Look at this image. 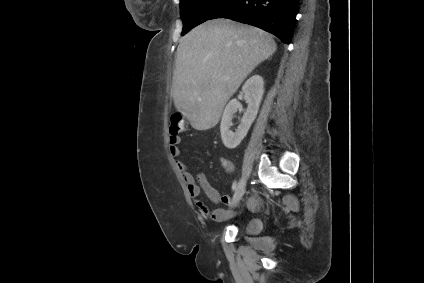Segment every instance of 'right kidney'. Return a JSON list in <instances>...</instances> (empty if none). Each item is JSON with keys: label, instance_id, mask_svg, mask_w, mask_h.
<instances>
[{"label": "right kidney", "instance_id": "right-kidney-1", "mask_svg": "<svg viewBox=\"0 0 424 283\" xmlns=\"http://www.w3.org/2000/svg\"><path fill=\"white\" fill-rule=\"evenodd\" d=\"M242 91L244 93V99L248 104V108L242 117L241 124L238 126L236 132L233 133L230 130V127L232 126L234 114L237 112L239 107L237 99H232L226 105L221 119V139L228 149H234L242 142L258 114L259 106L264 94L263 78L259 75H253L245 82L242 87Z\"/></svg>", "mask_w": 424, "mask_h": 283}]
</instances>
